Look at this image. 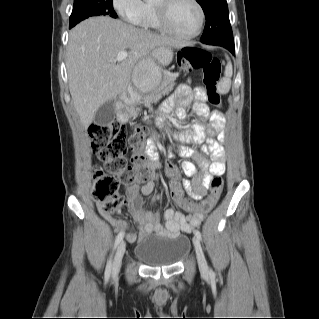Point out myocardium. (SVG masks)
Returning a JSON list of instances; mask_svg holds the SVG:
<instances>
[{"label": "myocardium", "mask_w": 319, "mask_h": 319, "mask_svg": "<svg viewBox=\"0 0 319 319\" xmlns=\"http://www.w3.org/2000/svg\"><path fill=\"white\" fill-rule=\"evenodd\" d=\"M157 2L158 3H155L154 6H155V11H156V15H157L160 27L164 29L168 34L182 40H191L200 34L204 24L205 13H204L203 7L201 6L198 0H190V2L193 3V5L196 7L199 18H198V24L195 31L188 35H183L176 32L169 24V20H168L169 9L171 7V4L174 2V0H157Z\"/></svg>", "instance_id": "1"}]
</instances>
